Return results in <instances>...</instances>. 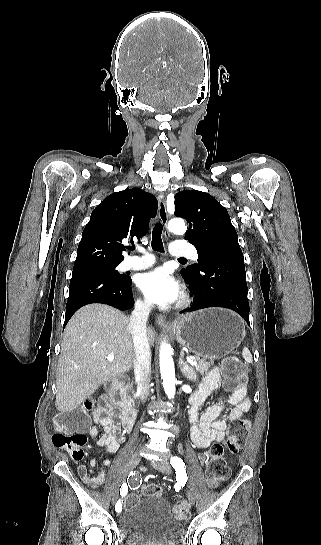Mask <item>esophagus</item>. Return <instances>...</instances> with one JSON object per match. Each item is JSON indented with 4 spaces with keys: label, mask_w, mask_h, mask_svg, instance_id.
Listing matches in <instances>:
<instances>
[{
    "label": "esophagus",
    "mask_w": 321,
    "mask_h": 545,
    "mask_svg": "<svg viewBox=\"0 0 321 545\" xmlns=\"http://www.w3.org/2000/svg\"><path fill=\"white\" fill-rule=\"evenodd\" d=\"M158 205H159V217H160L161 223L163 224V226L165 228V238L169 239L171 235H170V232L167 229L168 214H167V210H166L165 197H164L163 193H161L158 196ZM155 323H156V325H158L160 327H163V326L172 327L173 326V324H167L166 325L165 324V319L162 316H158L156 318V320H155Z\"/></svg>",
    "instance_id": "1"
}]
</instances>
